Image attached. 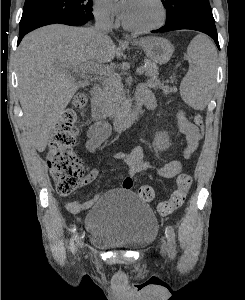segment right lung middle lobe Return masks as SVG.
<instances>
[{
	"instance_id": "right-lung-middle-lobe-1",
	"label": "right lung middle lobe",
	"mask_w": 245,
	"mask_h": 300,
	"mask_svg": "<svg viewBox=\"0 0 245 300\" xmlns=\"http://www.w3.org/2000/svg\"><path fill=\"white\" fill-rule=\"evenodd\" d=\"M92 10V0H26L19 34L59 22L92 20Z\"/></svg>"
}]
</instances>
